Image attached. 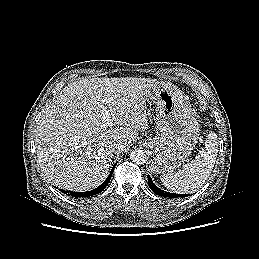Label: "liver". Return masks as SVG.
Wrapping results in <instances>:
<instances>
[{"instance_id":"liver-1","label":"liver","mask_w":259,"mask_h":259,"mask_svg":"<svg viewBox=\"0 0 259 259\" xmlns=\"http://www.w3.org/2000/svg\"><path fill=\"white\" fill-rule=\"evenodd\" d=\"M156 83L147 78H92L64 87L35 130L38 165L46 179L65 190L98 187L109 173L111 144L120 143L115 153L121 154L149 127L146 99ZM104 117L111 125H104Z\"/></svg>"}]
</instances>
